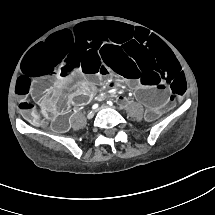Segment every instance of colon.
Wrapping results in <instances>:
<instances>
[{"label": "colon", "mask_w": 215, "mask_h": 215, "mask_svg": "<svg viewBox=\"0 0 215 215\" xmlns=\"http://www.w3.org/2000/svg\"><path fill=\"white\" fill-rule=\"evenodd\" d=\"M56 100H57V96L50 92L45 93L40 100V104L43 111H45L48 118L51 120H55L58 114V111L55 107ZM19 110L30 121H35L38 118L37 107L33 103L22 101L19 103Z\"/></svg>", "instance_id": "5ec220e1"}]
</instances>
